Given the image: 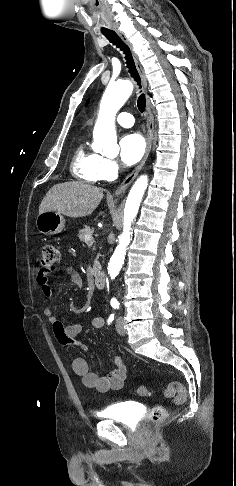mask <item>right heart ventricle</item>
Masks as SVG:
<instances>
[{
    "label": "right heart ventricle",
    "instance_id": "obj_1",
    "mask_svg": "<svg viewBox=\"0 0 236 486\" xmlns=\"http://www.w3.org/2000/svg\"><path fill=\"white\" fill-rule=\"evenodd\" d=\"M101 156L89 150L85 142H80L73 153L71 161V171L75 177L87 182L95 183L100 180L99 162Z\"/></svg>",
    "mask_w": 236,
    "mask_h": 486
}]
</instances>
